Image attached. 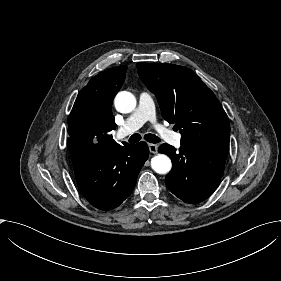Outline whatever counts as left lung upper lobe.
I'll list each match as a JSON object with an SVG mask.
<instances>
[{"mask_svg":"<svg viewBox=\"0 0 281 281\" xmlns=\"http://www.w3.org/2000/svg\"><path fill=\"white\" fill-rule=\"evenodd\" d=\"M138 74L157 97L162 116L176 123L181 145L229 148L228 117L214 93L190 69L137 63Z\"/></svg>","mask_w":281,"mask_h":281,"instance_id":"left-lung-upper-lobe-1","label":"left lung upper lobe"}]
</instances>
